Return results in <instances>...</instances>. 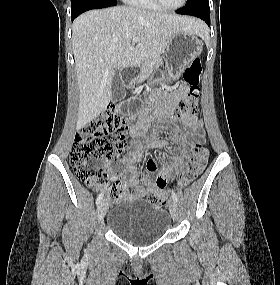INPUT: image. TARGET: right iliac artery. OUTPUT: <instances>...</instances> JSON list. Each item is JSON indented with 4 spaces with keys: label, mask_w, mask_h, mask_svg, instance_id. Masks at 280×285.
Listing matches in <instances>:
<instances>
[{
    "label": "right iliac artery",
    "mask_w": 280,
    "mask_h": 285,
    "mask_svg": "<svg viewBox=\"0 0 280 285\" xmlns=\"http://www.w3.org/2000/svg\"><path fill=\"white\" fill-rule=\"evenodd\" d=\"M103 196H104L103 192L98 195L97 200H96V204H97V205L100 204V202H101L102 199H103Z\"/></svg>",
    "instance_id": "1"
}]
</instances>
